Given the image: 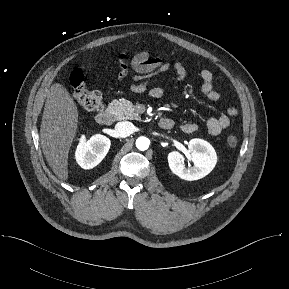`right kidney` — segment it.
<instances>
[{
	"instance_id": "obj_1",
	"label": "right kidney",
	"mask_w": 289,
	"mask_h": 289,
	"mask_svg": "<svg viewBox=\"0 0 289 289\" xmlns=\"http://www.w3.org/2000/svg\"><path fill=\"white\" fill-rule=\"evenodd\" d=\"M110 145V139L104 135L96 134L88 140L82 135L75 152L77 163L83 169L94 168L104 159Z\"/></svg>"
}]
</instances>
